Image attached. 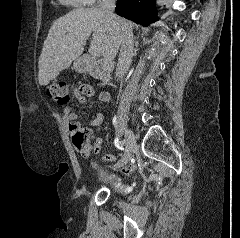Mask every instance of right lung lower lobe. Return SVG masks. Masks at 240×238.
Here are the masks:
<instances>
[{"mask_svg": "<svg viewBox=\"0 0 240 238\" xmlns=\"http://www.w3.org/2000/svg\"><path fill=\"white\" fill-rule=\"evenodd\" d=\"M116 13L141 25L157 20L155 0H117Z\"/></svg>", "mask_w": 240, "mask_h": 238, "instance_id": "obj_1", "label": "right lung lower lobe"}]
</instances>
